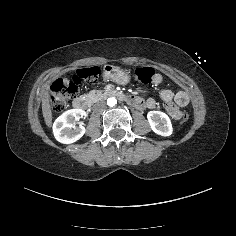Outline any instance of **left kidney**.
I'll return each instance as SVG.
<instances>
[{"label":"left kidney","instance_id":"5707ae66","mask_svg":"<svg viewBox=\"0 0 236 236\" xmlns=\"http://www.w3.org/2000/svg\"><path fill=\"white\" fill-rule=\"evenodd\" d=\"M147 118L151 129L158 135L170 136L173 128L171 121L167 114L161 111H150L147 114Z\"/></svg>","mask_w":236,"mask_h":236}]
</instances>
